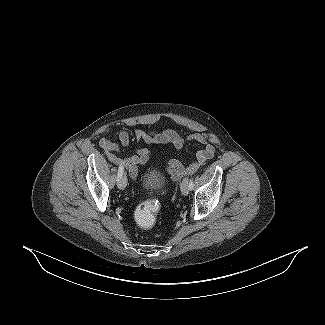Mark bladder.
I'll use <instances>...</instances> for the list:
<instances>
[{"label":"bladder","instance_id":"31cf9c89","mask_svg":"<svg viewBox=\"0 0 325 325\" xmlns=\"http://www.w3.org/2000/svg\"><path fill=\"white\" fill-rule=\"evenodd\" d=\"M164 182V174L157 167L149 168L143 178H142V186L144 189L149 191L158 190Z\"/></svg>","mask_w":325,"mask_h":325}]
</instances>
